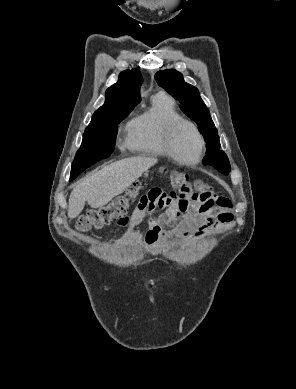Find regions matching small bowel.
I'll return each instance as SVG.
<instances>
[{"instance_id": "obj_1", "label": "small bowel", "mask_w": 296, "mask_h": 389, "mask_svg": "<svg viewBox=\"0 0 296 389\" xmlns=\"http://www.w3.org/2000/svg\"><path fill=\"white\" fill-rule=\"evenodd\" d=\"M154 194L158 195L153 197ZM156 208L164 211L155 215ZM232 220L231 202L211 190L181 196L152 189L141 198L135 208L121 244L128 243L131 235L144 222L149 225L147 239L153 243L159 238H199L209 229L228 224Z\"/></svg>"}]
</instances>
